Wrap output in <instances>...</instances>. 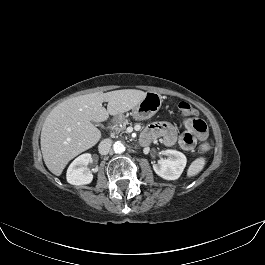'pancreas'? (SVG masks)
<instances>
[{
	"mask_svg": "<svg viewBox=\"0 0 265 265\" xmlns=\"http://www.w3.org/2000/svg\"><path fill=\"white\" fill-rule=\"evenodd\" d=\"M129 124L128 120H123L122 122L117 123L114 127L113 130L115 133H125L126 132V126Z\"/></svg>",
	"mask_w": 265,
	"mask_h": 265,
	"instance_id": "obj_1",
	"label": "pancreas"
}]
</instances>
